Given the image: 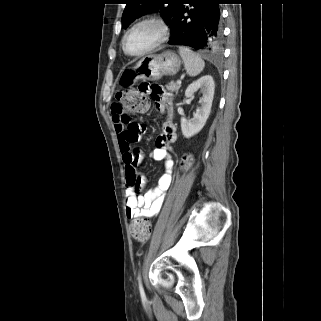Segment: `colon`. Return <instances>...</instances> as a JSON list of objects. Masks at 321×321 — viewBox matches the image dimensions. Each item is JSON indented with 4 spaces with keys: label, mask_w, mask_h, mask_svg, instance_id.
Here are the masks:
<instances>
[{
    "label": "colon",
    "mask_w": 321,
    "mask_h": 321,
    "mask_svg": "<svg viewBox=\"0 0 321 321\" xmlns=\"http://www.w3.org/2000/svg\"><path fill=\"white\" fill-rule=\"evenodd\" d=\"M153 96H145V93H139L137 89L125 90L117 93V104L118 109L126 116L130 114H137L145 112L149 107V99ZM183 166L187 167L190 165L191 159L189 156L183 158ZM128 186L134 190H138L144 185L143 176L133 169L127 176ZM131 234L134 239L138 241H147L152 232L151 224L146 219H135L130 225Z\"/></svg>",
    "instance_id": "colon-1"
}]
</instances>
